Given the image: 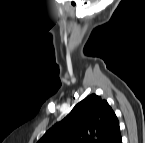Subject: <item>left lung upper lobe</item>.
Returning <instances> with one entry per match:
<instances>
[{"label": "left lung upper lobe", "instance_id": "left-lung-upper-lobe-1", "mask_svg": "<svg viewBox=\"0 0 145 143\" xmlns=\"http://www.w3.org/2000/svg\"><path fill=\"white\" fill-rule=\"evenodd\" d=\"M97 135L98 139L93 137ZM120 136L119 121L106 100L92 94L79 102L39 143H114Z\"/></svg>", "mask_w": 145, "mask_h": 143}]
</instances>
